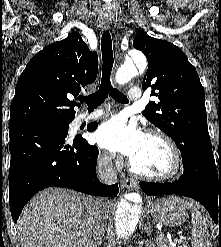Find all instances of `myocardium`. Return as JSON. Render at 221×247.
Segmentation results:
<instances>
[{"instance_id":"1","label":"myocardium","mask_w":221,"mask_h":247,"mask_svg":"<svg viewBox=\"0 0 221 247\" xmlns=\"http://www.w3.org/2000/svg\"><path fill=\"white\" fill-rule=\"evenodd\" d=\"M146 135L158 138L168 146L173 158V167L171 171L166 174L152 175L137 170L132 164L131 160L129 159L128 167L131 173L139 178L149 181H155V182H167L179 178L184 171V161H183L182 153L179 147L177 146V144L174 142V140L165 132L159 129H150L146 132Z\"/></svg>"}]
</instances>
